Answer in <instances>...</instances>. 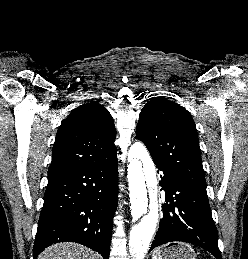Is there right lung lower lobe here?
Wrapping results in <instances>:
<instances>
[{"label": "right lung lower lobe", "instance_id": "obj_1", "mask_svg": "<svg viewBox=\"0 0 248 259\" xmlns=\"http://www.w3.org/2000/svg\"><path fill=\"white\" fill-rule=\"evenodd\" d=\"M117 193L116 154L99 164L48 175L34 259L49 245L66 241L109 259Z\"/></svg>", "mask_w": 248, "mask_h": 259}]
</instances>
